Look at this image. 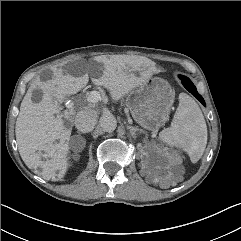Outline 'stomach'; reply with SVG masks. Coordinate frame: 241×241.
Listing matches in <instances>:
<instances>
[{
	"mask_svg": "<svg viewBox=\"0 0 241 241\" xmlns=\"http://www.w3.org/2000/svg\"><path fill=\"white\" fill-rule=\"evenodd\" d=\"M174 103L170 84L159 77L149 78L126 98V106L134 120L147 130H157L169 119Z\"/></svg>",
	"mask_w": 241,
	"mask_h": 241,
	"instance_id": "1",
	"label": "stomach"
}]
</instances>
